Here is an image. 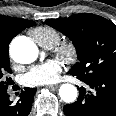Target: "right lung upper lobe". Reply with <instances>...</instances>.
I'll return each instance as SVG.
<instances>
[{
    "instance_id": "obj_1",
    "label": "right lung upper lobe",
    "mask_w": 116,
    "mask_h": 116,
    "mask_svg": "<svg viewBox=\"0 0 116 116\" xmlns=\"http://www.w3.org/2000/svg\"><path fill=\"white\" fill-rule=\"evenodd\" d=\"M34 21L0 15V49H8L10 41L22 30L34 26Z\"/></svg>"
}]
</instances>
